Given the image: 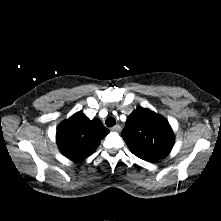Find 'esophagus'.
Masks as SVG:
<instances>
[{
  "label": "esophagus",
  "instance_id": "1",
  "mask_svg": "<svg viewBox=\"0 0 221 221\" xmlns=\"http://www.w3.org/2000/svg\"><path fill=\"white\" fill-rule=\"evenodd\" d=\"M113 131L119 132L121 130V126L120 125H115L114 127H112Z\"/></svg>",
  "mask_w": 221,
  "mask_h": 221
}]
</instances>
